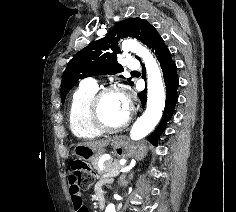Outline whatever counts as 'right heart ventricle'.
<instances>
[{
  "mask_svg": "<svg viewBox=\"0 0 236 212\" xmlns=\"http://www.w3.org/2000/svg\"><path fill=\"white\" fill-rule=\"evenodd\" d=\"M97 86L82 83L72 94L69 105V125L79 139H93L102 135L90 118V102Z\"/></svg>",
  "mask_w": 236,
  "mask_h": 212,
  "instance_id": "right-heart-ventricle-1",
  "label": "right heart ventricle"
}]
</instances>
